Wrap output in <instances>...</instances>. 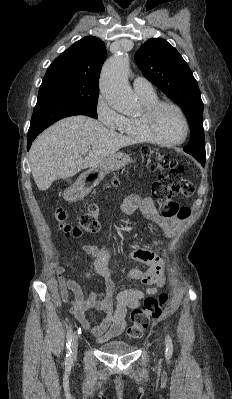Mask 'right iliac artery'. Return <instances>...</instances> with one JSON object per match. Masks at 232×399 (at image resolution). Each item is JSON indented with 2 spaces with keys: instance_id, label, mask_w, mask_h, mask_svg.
<instances>
[{
  "instance_id": "right-iliac-artery-1",
  "label": "right iliac artery",
  "mask_w": 232,
  "mask_h": 399,
  "mask_svg": "<svg viewBox=\"0 0 232 399\" xmlns=\"http://www.w3.org/2000/svg\"><path fill=\"white\" fill-rule=\"evenodd\" d=\"M72 334H73V330L70 327L67 331V343H66L67 353H66V358H65L66 365L72 364V351H71Z\"/></svg>"
}]
</instances>
